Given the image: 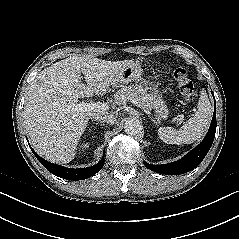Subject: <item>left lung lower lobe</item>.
I'll return each instance as SVG.
<instances>
[{"instance_id":"obj_1","label":"left lung lower lobe","mask_w":239,"mask_h":239,"mask_svg":"<svg viewBox=\"0 0 239 239\" xmlns=\"http://www.w3.org/2000/svg\"><path fill=\"white\" fill-rule=\"evenodd\" d=\"M215 132H216V111H214L211 125L205 138L197 147H195L192 151L187 153L183 158H181L176 162L168 164L152 165L144 162V165L154 172L165 175H177L189 172L196 166H198L208 153L214 141Z\"/></svg>"}]
</instances>
